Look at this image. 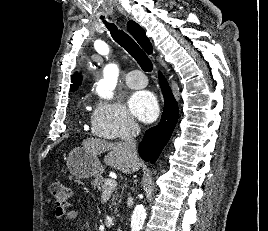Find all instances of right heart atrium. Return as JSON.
Returning a JSON list of instances; mask_svg holds the SVG:
<instances>
[{"instance_id":"obj_1","label":"right heart atrium","mask_w":268,"mask_h":231,"mask_svg":"<svg viewBox=\"0 0 268 231\" xmlns=\"http://www.w3.org/2000/svg\"><path fill=\"white\" fill-rule=\"evenodd\" d=\"M93 134L107 140L128 138L137 123L119 101L97 100L91 114Z\"/></svg>"}]
</instances>
